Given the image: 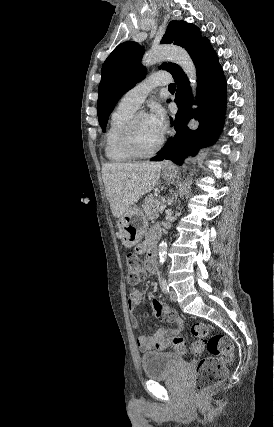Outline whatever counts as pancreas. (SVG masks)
Wrapping results in <instances>:
<instances>
[{
    "label": "pancreas",
    "mask_w": 274,
    "mask_h": 427,
    "mask_svg": "<svg viewBox=\"0 0 274 427\" xmlns=\"http://www.w3.org/2000/svg\"><path fill=\"white\" fill-rule=\"evenodd\" d=\"M160 206H163V202H160V200H154L153 196H148V198L144 200V204L142 206L147 219H156V217H159L158 210Z\"/></svg>",
    "instance_id": "obj_1"
}]
</instances>
